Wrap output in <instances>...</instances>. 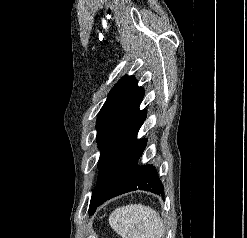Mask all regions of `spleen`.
<instances>
[{
    "label": "spleen",
    "mask_w": 247,
    "mask_h": 238,
    "mask_svg": "<svg viewBox=\"0 0 247 238\" xmlns=\"http://www.w3.org/2000/svg\"><path fill=\"white\" fill-rule=\"evenodd\" d=\"M109 224L122 238H161L164 234L159 214L142 204L116 208L109 216Z\"/></svg>",
    "instance_id": "obj_1"
}]
</instances>
